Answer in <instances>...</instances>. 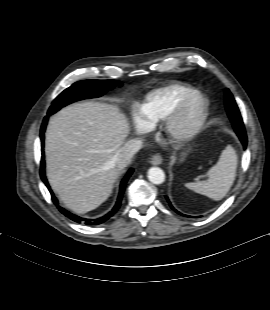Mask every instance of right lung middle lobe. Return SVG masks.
<instances>
[{
  "label": "right lung middle lobe",
  "instance_id": "1",
  "mask_svg": "<svg viewBox=\"0 0 270 310\" xmlns=\"http://www.w3.org/2000/svg\"><path fill=\"white\" fill-rule=\"evenodd\" d=\"M117 80H83L65 89L52 103L48 115L58 111L61 107L77 100L100 97L115 86H121Z\"/></svg>",
  "mask_w": 270,
  "mask_h": 310
}]
</instances>
